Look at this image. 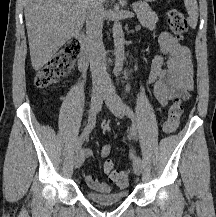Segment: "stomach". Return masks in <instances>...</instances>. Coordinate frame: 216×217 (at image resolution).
I'll list each match as a JSON object with an SVG mask.
<instances>
[{
  "instance_id": "0dacf381",
  "label": "stomach",
  "mask_w": 216,
  "mask_h": 217,
  "mask_svg": "<svg viewBox=\"0 0 216 217\" xmlns=\"http://www.w3.org/2000/svg\"><path fill=\"white\" fill-rule=\"evenodd\" d=\"M156 0H145V2H154Z\"/></svg>"
}]
</instances>
